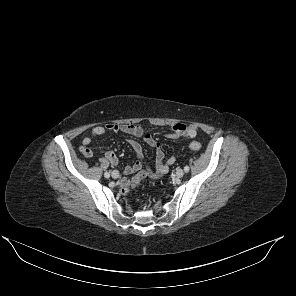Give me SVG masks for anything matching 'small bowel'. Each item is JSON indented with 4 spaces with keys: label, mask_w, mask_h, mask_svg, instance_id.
Here are the masks:
<instances>
[{
    "label": "small bowel",
    "mask_w": 296,
    "mask_h": 296,
    "mask_svg": "<svg viewBox=\"0 0 296 296\" xmlns=\"http://www.w3.org/2000/svg\"><path fill=\"white\" fill-rule=\"evenodd\" d=\"M106 132H113L115 134L125 133L132 137H138L143 139L149 146L155 150L156 167L155 170L149 168L142 160L144 157V150L142 146L133 138H128V143L135 150L137 155L141 158L138 162L129 165L125 168V173L137 175L132 179L122 178L120 185L135 186V178L140 176L142 179L149 177L152 179H158L162 175L166 174L169 167L176 161L175 156H170L165 159L164 151L156 138H154L148 130L140 125L125 123V124H114L110 123L105 126H96L91 131V136L85 137L82 140L81 152L85 157L92 156V150L90 145L93 142V137L104 135ZM197 128L195 126H186L182 123H177L172 126V132L167 134V137L171 139L181 138H194L197 135ZM104 158L113 166L118 164V158L116 154L111 150L102 151Z\"/></svg>",
    "instance_id": "small-bowel-1"
}]
</instances>
